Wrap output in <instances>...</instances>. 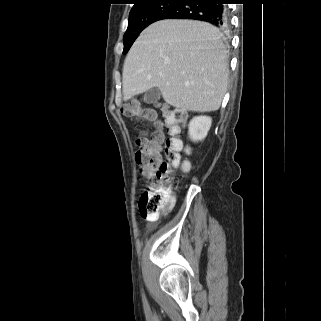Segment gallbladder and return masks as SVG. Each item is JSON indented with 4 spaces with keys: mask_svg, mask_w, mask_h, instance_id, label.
Returning a JSON list of instances; mask_svg holds the SVG:
<instances>
[{
    "mask_svg": "<svg viewBox=\"0 0 321 321\" xmlns=\"http://www.w3.org/2000/svg\"><path fill=\"white\" fill-rule=\"evenodd\" d=\"M160 96H161L160 90L157 87H153L145 93L144 101L147 104H154L160 99Z\"/></svg>",
    "mask_w": 321,
    "mask_h": 321,
    "instance_id": "obj_1",
    "label": "gallbladder"
}]
</instances>
